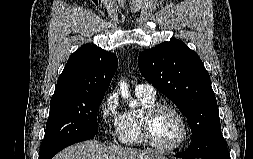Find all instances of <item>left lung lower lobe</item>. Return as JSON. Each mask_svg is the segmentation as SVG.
Masks as SVG:
<instances>
[{
    "mask_svg": "<svg viewBox=\"0 0 253 159\" xmlns=\"http://www.w3.org/2000/svg\"><path fill=\"white\" fill-rule=\"evenodd\" d=\"M180 158H202V159H230V155L228 153L227 145L224 138L218 140L213 145L211 151L205 155H199L196 153L195 149L191 146L189 148L177 155Z\"/></svg>",
    "mask_w": 253,
    "mask_h": 159,
    "instance_id": "left-lung-lower-lobe-1",
    "label": "left lung lower lobe"
}]
</instances>
